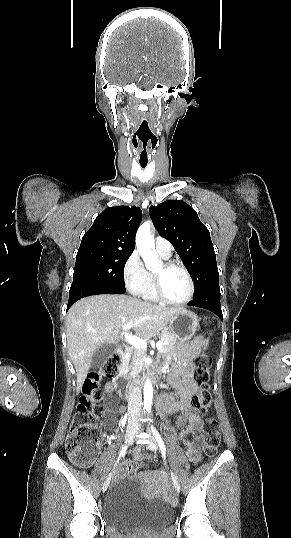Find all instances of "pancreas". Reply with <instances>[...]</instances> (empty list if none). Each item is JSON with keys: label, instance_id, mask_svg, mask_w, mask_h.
Segmentation results:
<instances>
[{"label": "pancreas", "instance_id": "1", "mask_svg": "<svg viewBox=\"0 0 291 538\" xmlns=\"http://www.w3.org/2000/svg\"><path fill=\"white\" fill-rule=\"evenodd\" d=\"M159 338L161 340H168V344H163L161 348H158L160 353H167L171 349H173L176 342V337L171 332L163 331L159 334ZM128 355H132V359L135 365L134 368L140 370L142 368L141 359L143 356H145V350L134 349V351H132L131 353L125 354V359H127Z\"/></svg>", "mask_w": 291, "mask_h": 538}]
</instances>
